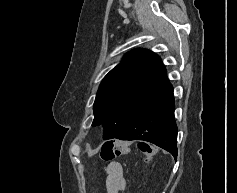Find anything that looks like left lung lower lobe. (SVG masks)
Returning <instances> with one entry per match:
<instances>
[{"instance_id":"1","label":"left lung lower lobe","mask_w":237,"mask_h":193,"mask_svg":"<svg viewBox=\"0 0 237 193\" xmlns=\"http://www.w3.org/2000/svg\"><path fill=\"white\" fill-rule=\"evenodd\" d=\"M117 139L147 141L177 158L173 88L166 73L146 91Z\"/></svg>"}]
</instances>
